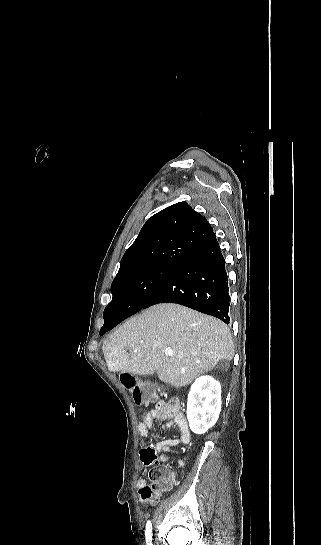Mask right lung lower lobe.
<instances>
[{
  "label": "right lung lower lobe",
  "mask_w": 321,
  "mask_h": 545,
  "mask_svg": "<svg viewBox=\"0 0 321 545\" xmlns=\"http://www.w3.org/2000/svg\"><path fill=\"white\" fill-rule=\"evenodd\" d=\"M229 302L225 260L215 237L186 260L143 308L158 303H177L228 324ZM104 314L108 324L101 328L100 336L124 320L118 317L117 308L114 307L107 306Z\"/></svg>",
  "instance_id": "1"
}]
</instances>
